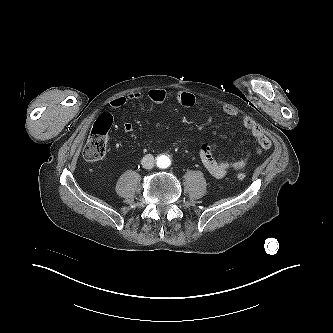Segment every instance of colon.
I'll use <instances>...</instances> for the list:
<instances>
[{"mask_svg": "<svg viewBox=\"0 0 333 333\" xmlns=\"http://www.w3.org/2000/svg\"><path fill=\"white\" fill-rule=\"evenodd\" d=\"M113 118L109 113H102L95 121L83 150V156L87 161L101 160L107 150V135L112 126ZM244 173H239V180L245 179Z\"/></svg>", "mask_w": 333, "mask_h": 333, "instance_id": "obj_1", "label": "colon"}]
</instances>
